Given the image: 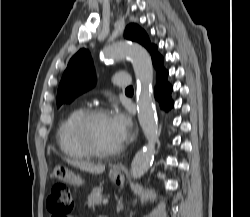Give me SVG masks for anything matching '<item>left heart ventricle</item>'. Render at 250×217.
<instances>
[{
    "instance_id": "left-heart-ventricle-1",
    "label": "left heart ventricle",
    "mask_w": 250,
    "mask_h": 217,
    "mask_svg": "<svg viewBox=\"0 0 250 217\" xmlns=\"http://www.w3.org/2000/svg\"><path fill=\"white\" fill-rule=\"evenodd\" d=\"M92 138L103 149H114L121 143L110 124L108 115L98 117L91 125Z\"/></svg>"
}]
</instances>
